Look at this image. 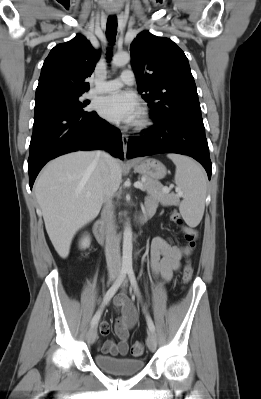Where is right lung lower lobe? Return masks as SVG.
Wrapping results in <instances>:
<instances>
[{
    "mask_svg": "<svg viewBox=\"0 0 261 399\" xmlns=\"http://www.w3.org/2000/svg\"><path fill=\"white\" fill-rule=\"evenodd\" d=\"M102 139L107 141V146ZM92 149H107L114 157L123 159L120 131L96 112L84 116L60 109L35 113L28 159L30 188L49 160Z\"/></svg>",
    "mask_w": 261,
    "mask_h": 399,
    "instance_id": "98d812e1",
    "label": "right lung lower lobe"
}]
</instances>
